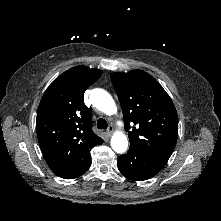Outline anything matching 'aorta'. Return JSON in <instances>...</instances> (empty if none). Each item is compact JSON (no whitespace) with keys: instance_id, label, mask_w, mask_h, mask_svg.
Instances as JSON below:
<instances>
[{"instance_id":"762f6f07","label":"aorta","mask_w":221,"mask_h":221,"mask_svg":"<svg viewBox=\"0 0 221 221\" xmlns=\"http://www.w3.org/2000/svg\"><path fill=\"white\" fill-rule=\"evenodd\" d=\"M93 106L98 110L113 115L117 112V108L112 96L103 89H93L91 91ZM111 147L116 153H124L128 148V140L126 135L121 131H116L111 138Z\"/></svg>"}]
</instances>
